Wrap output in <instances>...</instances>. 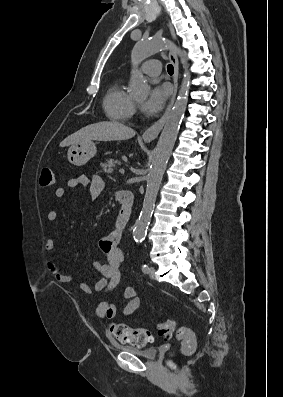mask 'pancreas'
I'll use <instances>...</instances> for the list:
<instances>
[{"label":"pancreas","mask_w":283,"mask_h":397,"mask_svg":"<svg viewBox=\"0 0 283 397\" xmlns=\"http://www.w3.org/2000/svg\"><path fill=\"white\" fill-rule=\"evenodd\" d=\"M118 165H120V161L113 158H109L107 162L101 163V167L103 168V171L108 174H112L114 169Z\"/></svg>","instance_id":"pancreas-1"}]
</instances>
